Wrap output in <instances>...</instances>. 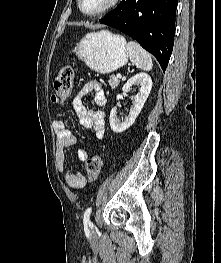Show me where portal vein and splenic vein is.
Here are the masks:
<instances>
[{"instance_id": "18ae733b", "label": "portal vein and splenic vein", "mask_w": 221, "mask_h": 263, "mask_svg": "<svg viewBox=\"0 0 221 263\" xmlns=\"http://www.w3.org/2000/svg\"><path fill=\"white\" fill-rule=\"evenodd\" d=\"M116 77H117L118 79H120V78H122V75H121L120 73H118V74L116 75Z\"/></svg>"}]
</instances>
